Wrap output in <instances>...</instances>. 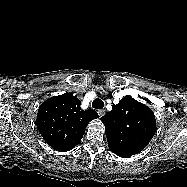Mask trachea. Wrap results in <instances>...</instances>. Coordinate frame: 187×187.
Wrapping results in <instances>:
<instances>
[{"instance_id": "3493384b", "label": "trachea", "mask_w": 187, "mask_h": 187, "mask_svg": "<svg viewBox=\"0 0 187 187\" xmlns=\"http://www.w3.org/2000/svg\"><path fill=\"white\" fill-rule=\"evenodd\" d=\"M92 107L94 109H102L104 107V102L101 99L96 98L92 102Z\"/></svg>"}]
</instances>
